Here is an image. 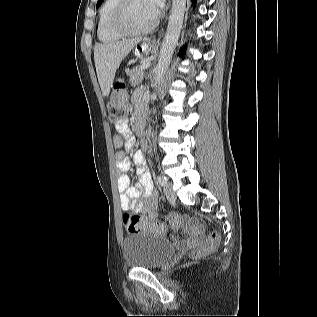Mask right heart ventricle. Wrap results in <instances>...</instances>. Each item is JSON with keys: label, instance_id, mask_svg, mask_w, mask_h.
<instances>
[{"label": "right heart ventricle", "instance_id": "1", "mask_svg": "<svg viewBox=\"0 0 317 317\" xmlns=\"http://www.w3.org/2000/svg\"><path fill=\"white\" fill-rule=\"evenodd\" d=\"M119 0H104L99 10L97 36L104 43L119 40L122 35L112 28V16Z\"/></svg>", "mask_w": 317, "mask_h": 317}]
</instances>
